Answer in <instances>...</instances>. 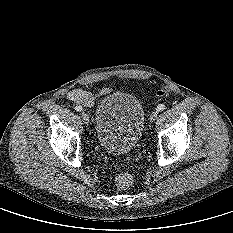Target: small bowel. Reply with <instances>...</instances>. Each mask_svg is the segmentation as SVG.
<instances>
[{
    "instance_id": "1",
    "label": "small bowel",
    "mask_w": 233,
    "mask_h": 233,
    "mask_svg": "<svg viewBox=\"0 0 233 233\" xmlns=\"http://www.w3.org/2000/svg\"><path fill=\"white\" fill-rule=\"evenodd\" d=\"M95 98V95L82 89H75L69 93L70 100L83 106H92Z\"/></svg>"
}]
</instances>
